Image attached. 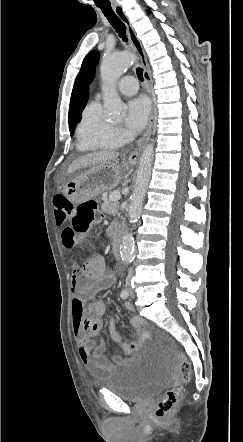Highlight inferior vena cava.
<instances>
[{
    "mask_svg": "<svg viewBox=\"0 0 243 442\" xmlns=\"http://www.w3.org/2000/svg\"><path fill=\"white\" fill-rule=\"evenodd\" d=\"M131 276H132V268H130L128 271V277L130 278Z\"/></svg>",
    "mask_w": 243,
    "mask_h": 442,
    "instance_id": "602c4592",
    "label": "inferior vena cava"
}]
</instances>
